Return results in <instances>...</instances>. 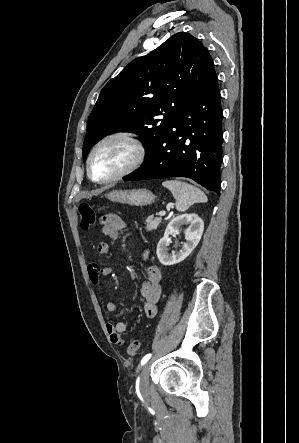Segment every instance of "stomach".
<instances>
[{"instance_id": "1", "label": "stomach", "mask_w": 299, "mask_h": 443, "mask_svg": "<svg viewBox=\"0 0 299 443\" xmlns=\"http://www.w3.org/2000/svg\"><path fill=\"white\" fill-rule=\"evenodd\" d=\"M107 198L112 202L145 206L152 203L154 196L152 192L147 189L113 190L107 194Z\"/></svg>"}]
</instances>
